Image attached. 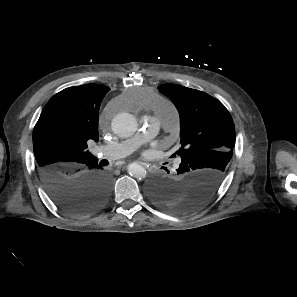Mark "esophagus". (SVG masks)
<instances>
[{
	"label": "esophagus",
	"mask_w": 297,
	"mask_h": 297,
	"mask_svg": "<svg viewBox=\"0 0 297 297\" xmlns=\"http://www.w3.org/2000/svg\"><path fill=\"white\" fill-rule=\"evenodd\" d=\"M137 163H139V164H141V165H143V166H147V165H148L147 163L142 162V161H137Z\"/></svg>",
	"instance_id": "esophagus-1"
}]
</instances>
